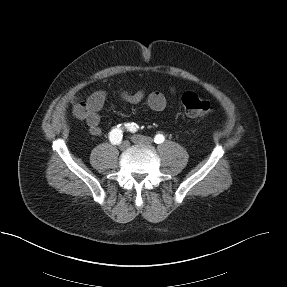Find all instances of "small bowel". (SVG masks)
Returning a JSON list of instances; mask_svg holds the SVG:
<instances>
[{"mask_svg":"<svg viewBox=\"0 0 287 287\" xmlns=\"http://www.w3.org/2000/svg\"><path fill=\"white\" fill-rule=\"evenodd\" d=\"M172 93H175V89H172ZM107 94L104 91H96L92 93L87 99V116L85 121L89 128V131L94 136H100L102 129L100 127V112L105 104ZM120 98L123 102L131 105L143 104L149 110L159 112L166 106L165 97L159 92H152L146 94L144 91L139 90L135 93H129L126 91L121 92Z\"/></svg>","mask_w":287,"mask_h":287,"instance_id":"small-bowel-1","label":"small bowel"}]
</instances>
